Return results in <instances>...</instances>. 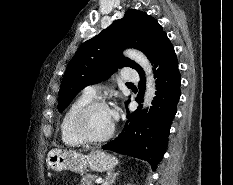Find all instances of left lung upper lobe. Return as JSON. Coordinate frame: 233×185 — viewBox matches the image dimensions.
<instances>
[{
  "mask_svg": "<svg viewBox=\"0 0 233 185\" xmlns=\"http://www.w3.org/2000/svg\"><path fill=\"white\" fill-rule=\"evenodd\" d=\"M167 37L157 20L138 10H128L94 38L84 42L69 62L61 83L58 111L62 112L84 87L107 79L117 68L141 67L123 57L126 47L141 50L150 60Z\"/></svg>",
  "mask_w": 233,
  "mask_h": 185,
  "instance_id": "5c2ea615",
  "label": "left lung upper lobe"
}]
</instances>
